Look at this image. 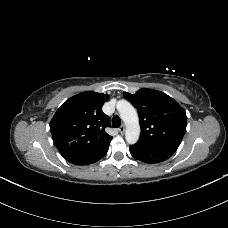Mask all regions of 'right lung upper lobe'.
I'll return each mask as SVG.
<instances>
[{"instance_id": "1", "label": "right lung upper lobe", "mask_w": 228, "mask_h": 228, "mask_svg": "<svg viewBox=\"0 0 228 228\" xmlns=\"http://www.w3.org/2000/svg\"><path fill=\"white\" fill-rule=\"evenodd\" d=\"M107 94L86 91L69 98L50 122L52 139L65 158L80 156L109 144L110 118L102 111Z\"/></svg>"}]
</instances>
